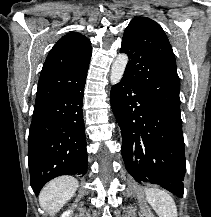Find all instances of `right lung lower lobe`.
Returning a JSON list of instances; mask_svg holds the SVG:
<instances>
[{"instance_id": "right-lung-lower-lobe-1", "label": "right lung lower lobe", "mask_w": 211, "mask_h": 217, "mask_svg": "<svg viewBox=\"0 0 211 217\" xmlns=\"http://www.w3.org/2000/svg\"><path fill=\"white\" fill-rule=\"evenodd\" d=\"M85 79L86 76L70 90L34 106L28 164L36 196L57 176L85 175L87 172L82 111Z\"/></svg>"}]
</instances>
